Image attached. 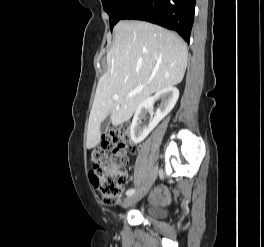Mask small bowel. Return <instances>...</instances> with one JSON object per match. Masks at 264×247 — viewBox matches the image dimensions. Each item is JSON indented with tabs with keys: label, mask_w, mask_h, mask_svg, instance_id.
Returning a JSON list of instances; mask_svg holds the SVG:
<instances>
[{
	"label": "small bowel",
	"mask_w": 264,
	"mask_h": 247,
	"mask_svg": "<svg viewBox=\"0 0 264 247\" xmlns=\"http://www.w3.org/2000/svg\"><path fill=\"white\" fill-rule=\"evenodd\" d=\"M170 198V193L163 189H156L150 195L152 202H167Z\"/></svg>",
	"instance_id": "obj_1"
}]
</instances>
